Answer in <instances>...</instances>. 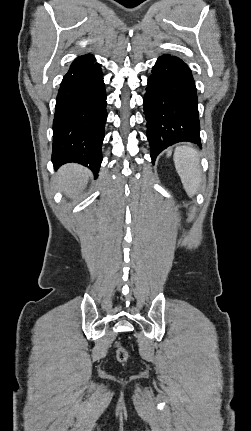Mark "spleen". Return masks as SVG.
I'll use <instances>...</instances> for the list:
<instances>
[{
	"label": "spleen",
	"instance_id": "3e777b00",
	"mask_svg": "<svg viewBox=\"0 0 251 431\" xmlns=\"http://www.w3.org/2000/svg\"><path fill=\"white\" fill-rule=\"evenodd\" d=\"M171 152H168V156ZM174 163L183 187L189 196L195 195L201 185L202 171L198 152L190 146H179L174 151Z\"/></svg>",
	"mask_w": 251,
	"mask_h": 431
}]
</instances>
